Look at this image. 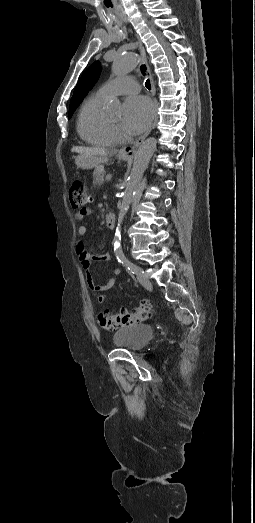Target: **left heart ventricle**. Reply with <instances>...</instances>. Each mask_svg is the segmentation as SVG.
Wrapping results in <instances>:
<instances>
[{
    "mask_svg": "<svg viewBox=\"0 0 255 523\" xmlns=\"http://www.w3.org/2000/svg\"><path fill=\"white\" fill-rule=\"evenodd\" d=\"M110 118L112 120H114L118 124V126L120 127V129L122 130L123 133H126L127 129H126L125 125H124L121 113L113 115V116H110Z\"/></svg>",
    "mask_w": 255,
    "mask_h": 523,
    "instance_id": "1",
    "label": "left heart ventricle"
}]
</instances>
